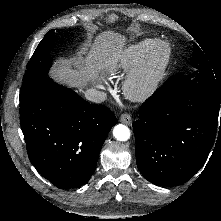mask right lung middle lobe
<instances>
[{"label":"right lung middle lobe","instance_id":"dd1d6c3e","mask_svg":"<svg viewBox=\"0 0 221 221\" xmlns=\"http://www.w3.org/2000/svg\"><path fill=\"white\" fill-rule=\"evenodd\" d=\"M54 30L49 31L43 40L37 46L31 57L27 70L23 76V83L20 92V100L32 91L38 84L47 78L48 71L51 67L50 50L54 45Z\"/></svg>","mask_w":221,"mask_h":221}]
</instances>
